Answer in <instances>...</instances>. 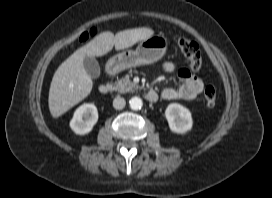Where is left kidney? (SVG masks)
<instances>
[{
	"instance_id": "obj_1",
	"label": "left kidney",
	"mask_w": 272,
	"mask_h": 198,
	"mask_svg": "<svg viewBox=\"0 0 272 198\" xmlns=\"http://www.w3.org/2000/svg\"><path fill=\"white\" fill-rule=\"evenodd\" d=\"M165 117L169 128L177 134H185L192 129L193 119L191 112L178 103H171L165 110Z\"/></svg>"
}]
</instances>
